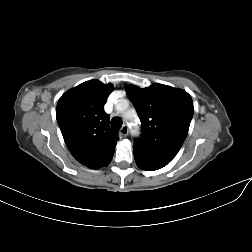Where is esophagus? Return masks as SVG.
<instances>
[{
	"label": "esophagus",
	"mask_w": 252,
	"mask_h": 252,
	"mask_svg": "<svg viewBox=\"0 0 252 252\" xmlns=\"http://www.w3.org/2000/svg\"><path fill=\"white\" fill-rule=\"evenodd\" d=\"M129 132L128 126L127 125H123L122 128L120 129V134L123 136H127Z\"/></svg>",
	"instance_id": "1"
}]
</instances>
